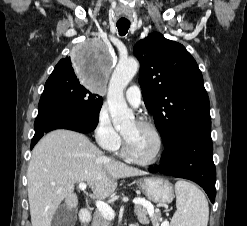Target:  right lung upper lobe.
Returning <instances> with one entry per match:
<instances>
[{
	"mask_svg": "<svg viewBox=\"0 0 247 226\" xmlns=\"http://www.w3.org/2000/svg\"><path fill=\"white\" fill-rule=\"evenodd\" d=\"M70 62V58H68V57H66V58H64V59H61L59 62H58V64L55 66V68H58V67H60V66H62V65H64V64H67V63H69Z\"/></svg>",
	"mask_w": 247,
	"mask_h": 226,
	"instance_id": "right-lung-upper-lobe-1",
	"label": "right lung upper lobe"
}]
</instances>
